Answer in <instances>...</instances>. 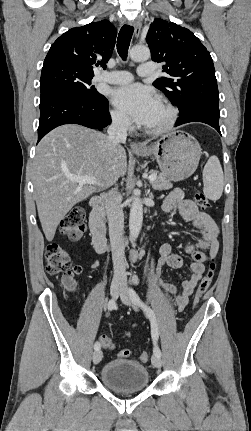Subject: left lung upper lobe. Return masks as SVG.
Here are the masks:
<instances>
[{"label":"left lung upper lobe","instance_id":"1","mask_svg":"<svg viewBox=\"0 0 251 431\" xmlns=\"http://www.w3.org/2000/svg\"><path fill=\"white\" fill-rule=\"evenodd\" d=\"M152 60L165 62L161 77L153 85L163 91L180 114L200 102H219L212 58L200 40L188 29L155 19L147 33Z\"/></svg>","mask_w":251,"mask_h":431}]
</instances>
